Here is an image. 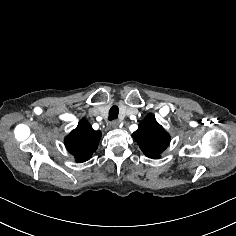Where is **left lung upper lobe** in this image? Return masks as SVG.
I'll use <instances>...</instances> for the list:
<instances>
[{"label":"left lung upper lobe","instance_id":"left-lung-upper-lobe-1","mask_svg":"<svg viewBox=\"0 0 236 236\" xmlns=\"http://www.w3.org/2000/svg\"><path fill=\"white\" fill-rule=\"evenodd\" d=\"M142 152L149 158L157 159L170 142L169 134L159 125L152 114H148L132 134Z\"/></svg>","mask_w":236,"mask_h":236}]
</instances>
